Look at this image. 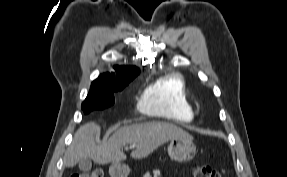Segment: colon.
<instances>
[{
	"label": "colon",
	"instance_id": "obj_1",
	"mask_svg": "<svg viewBox=\"0 0 287 177\" xmlns=\"http://www.w3.org/2000/svg\"><path fill=\"white\" fill-rule=\"evenodd\" d=\"M69 177H104V174L101 169H93L83 174H72ZM192 177H221V175L208 165H199L193 169Z\"/></svg>",
	"mask_w": 287,
	"mask_h": 177
}]
</instances>
